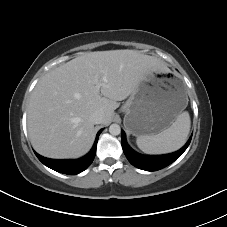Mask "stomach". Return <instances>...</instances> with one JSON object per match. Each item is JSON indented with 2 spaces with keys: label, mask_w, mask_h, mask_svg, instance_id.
<instances>
[{
  "label": "stomach",
  "mask_w": 227,
  "mask_h": 227,
  "mask_svg": "<svg viewBox=\"0 0 227 227\" xmlns=\"http://www.w3.org/2000/svg\"><path fill=\"white\" fill-rule=\"evenodd\" d=\"M187 103L177 78L147 73L122 107L124 126L137 137L156 135L172 125Z\"/></svg>",
  "instance_id": "obj_1"
}]
</instances>
